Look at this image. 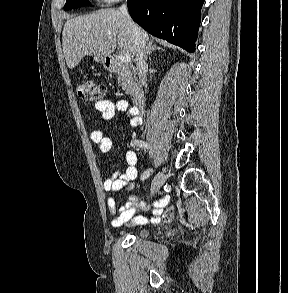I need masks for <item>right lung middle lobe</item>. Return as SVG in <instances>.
<instances>
[{
    "label": "right lung middle lobe",
    "mask_w": 288,
    "mask_h": 293,
    "mask_svg": "<svg viewBox=\"0 0 288 293\" xmlns=\"http://www.w3.org/2000/svg\"><path fill=\"white\" fill-rule=\"evenodd\" d=\"M84 5H90L88 0H67L64 5V10H70L74 8H79Z\"/></svg>",
    "instance_id": "dd1d6c3e"
}]
</instances>
